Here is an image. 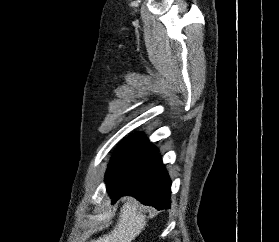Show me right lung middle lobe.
<instances>
[{"mask_svg": "<svg viewBox=\"0 0 279 242\" xmlns=\"http://www.w3.org/2000/svg\"><path fill=\"white\" fill-rule=\"evenodd\" d=\"M149 140L141 134H135L125 141L113 155L108 166L106 179L116 173L129 159L143 149Z\"/></svg>", "mask_w": 279, "mask_h": 242, "instance_id": "right-lung-middle-lobe-1", "label": "right lung middle lobe"}]
</instances>
